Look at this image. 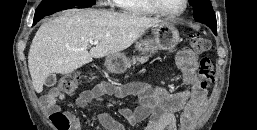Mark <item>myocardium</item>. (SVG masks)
<instances>
[{
  "label": "myocardium",
  "mask_w": 257,
  "mask_h": 130,
  "mask_svg": "<svg viewBox=\"0 0 257 130\" xmlns=\"http://www.w3.org/2000/svg\"><path fill=\"white\" fill-rule=\"evenodd\" d=\"M188 2L189 0H184V3H183V7L180 11L178 12H175V13H171V12H168L166 10H164L160 4L158 3L157 0H148V3L150 4V6L159 14L161 15H164V16H167V17H171V18H175V17H178L180 15H182L187 7H188Z\"/></svg>",
  "instance_id": "myocardium-1"
}]
</instances>
